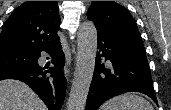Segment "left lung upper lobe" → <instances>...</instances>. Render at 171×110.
Here are the masks:
<instances>
[{
	"instance_id": "obj_1",
	"label": "left lung upper lobe",
	"mask_w": 171,
	"mask_h": 110,
	"mask_svg": "<svg viewBox=\"0 0 171 110\" xmlns=\"http://www.w3.org/2000/svg\"><path fill=\"white\" fill-rule=\"evenodd\" d=\"M87 17L95 23L98 35L146 55L137 24L125 7L114 1H93Z\"/></svg>"
}]
</instances>
